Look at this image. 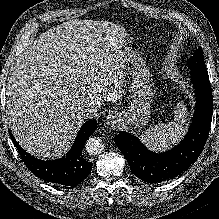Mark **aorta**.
Instances as JSON below:
<instances>
[{
    "label": "aorta",
    "instance_id": "aorta-1",
    "mask_svg": "<svg viewBox=\"0 0 219 219\" xmlns=\"http://www.w3.org/2000/svg\"><path fill=\"white\" fill-rule=\"evenodd\" d=\"M85 150L90 155H97L104 150L103 141L98 137L89 138L85 143Z\"/></svg>",
    "mask_w": 219,
    "mask_h": 219
}]
</instances>
